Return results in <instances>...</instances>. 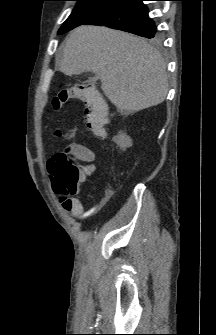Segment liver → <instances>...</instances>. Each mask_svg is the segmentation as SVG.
<instances>
[{"label": "liver", "mask_w": 216, "mask_h": 335, "mask_svg": "<svg viewBox=\"0 0 216 335\" xmlns=\"http://www.w3.org/2000/svg\"><path fill=\"white\" fill-rule=\"evenodd\" d=\"M59 69L68 76L94 72L104 94L125 113L156 106L168 92L160 53L142 38L104 26L71 31Z\"/></svg>", "instance_id": "6515ba94"}]
</instances>
